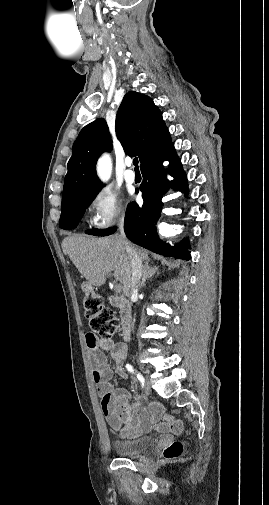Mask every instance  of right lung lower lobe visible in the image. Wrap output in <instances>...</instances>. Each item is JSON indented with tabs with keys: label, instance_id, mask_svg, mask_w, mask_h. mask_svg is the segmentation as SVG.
I'll return each mask as SVG.
<instances>
[{
	"label": "right lung lower lobe",
	"instance_id": "obj_1",
	"mask_svg": "<svg viewBox=\"0 0 269 505\" xmlns=\"http://www.w3.org/2000/svg\"><path fill=\"white\" fill-rule=\"evenodd\" d=\"M164 160L170 161V174L175 177L170 184L163 169L162 162ZM141 172L143 174V183L140 190L142 191L144 203L139 206L137 203L132 202L127 207L124 224L127 238L155 253L188 260L190 252L187 250L189 249L187 239L172 247L163 243L154 230V225L161 215V198L167 192L169 186L172 185L176 190L187 191V178L180 159L175 153L173 143L170 142L149 158L141 166Z\"/></svg>",
	"mask_w": 269,
	"mask_h": 505
}]
</instances>
